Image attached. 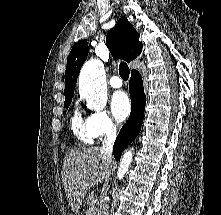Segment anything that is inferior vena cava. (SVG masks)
Wrapping results in <instances>:
<instances>
[{
	"label": "inferior vena cava",
	"mask_w": 221,
	"mask_h": 215,
	"mask_svg": "<svg viewBox=\"0 0 221 215\" xmlns=\"http://www.w3.org/2000/svg\"><path fill=\"white\" fill-rule=\"evenodd\" d=\"M116 136H117V130L115 127L107 130L106 137L104 138L102 147L100 149L104 158L108 161L112 160L113 145ZM98 215H109V207L106 202H104L103 205L101 206L100 213Z\"/></svg>",
	"instance_id": "obj_1"
}]
</instances>
